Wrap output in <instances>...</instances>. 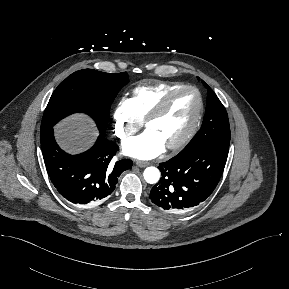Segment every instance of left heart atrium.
<instances>
[{
  "label": "left heart atrium",
  "instance_id": "39dd6f15",
  "mask_svg": "<svg viewBox=\"0 0 289 289\" xmlns=\"http://www.w3.org/2000/svg\"><path fill=\"white\" fill-rule=\"evenodd\" d=\"M164 148V144L149 130L139 136L128 139L123 144L125 154L142 160L158 156L163 152Z\"/></svg>",
  "mask_w": 289,
  "mask_h": 289
}]
</instances>
